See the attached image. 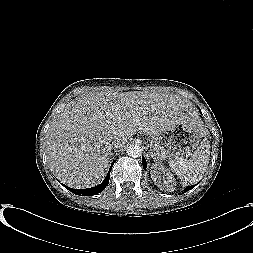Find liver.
Masks as SVG:
<instances>
[{
	"label": "liver",
	"instance_id": "liver-1",
	"mask_svg": "<svg viewBox=\"0 0 253 253\" xmlns=\"http://www.w3.org/2000/svg\"><path fill=\"white\" fill-rule=\"evenodd\" d=\"M178 122L203 131L202 120L179 96L159 92H89L66 104L47 132V161L63 184L98 185L106 175L112 146L136 133L152 136ZM122 145V146H123Z\"/></svg>",
	"mask_w": 253,
	"mask_h": 253
}]
</instances>
